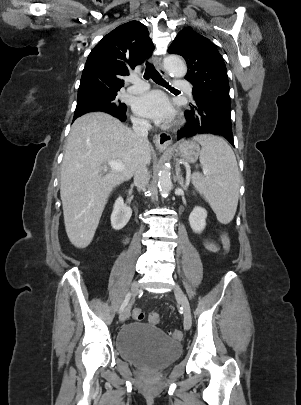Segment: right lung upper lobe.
Returning <instances> with one entry per match:
<instances>
[{"label": "right lung upper lobe", "mask_w": 301, "mask_h": 405, "mask_svg": "<svg viewBox=\"0 0 301 405\" xmlns=\"http://www.w3.org/2000/svg\"><path fill=\"white\" fill-rule=\"evenodd\" d=\"M154 49L147 27L138 21L118 26L107 34L90 52L78 91L88 89H119L122 76L129 74L149 57Z\"/></svg>", "instance_id": "obj_1"}]
</instances>
